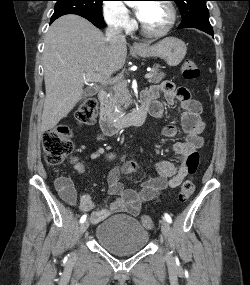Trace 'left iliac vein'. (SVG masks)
<instances>
[{"instance_id": "obj_1", "label": "left iliac vein", "mask_w": 250, "mask_h": 285, "mask_svg": "<svg viewBox=\"0 0 250 285\" xmlns=\"http://www.w3.org/2000/svg\"><path fill=\"white\" fill-rule=\"evenodd\" d=\"M161 231L165 237L166 240H169V236L171 233L169 222H167L165 219L161 221Z\"/></svg>"}]
</instances>
